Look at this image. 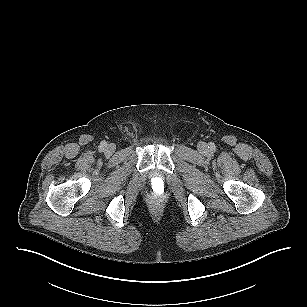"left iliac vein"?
Returning a JSON list of instances; mask_svg holds the SVG:
<instances>
[{
	"instance_id": "obj_1",
	"label": "left iliac vein",
	"mask_w": 307,
	"mask_h": 307,
	"mask_svg": "<svg viewBox=\"0 0 307 307\" xmlns=\"http://www.w3.org/2000/svg\"><path fill=\"white\" fill-rule=\"evenodd\" d=\"M198 148H199V151L201 152V153H206L207 152V145H206V143H200L199 144V146H198Z\"/></svg>"
}]
</instances>
